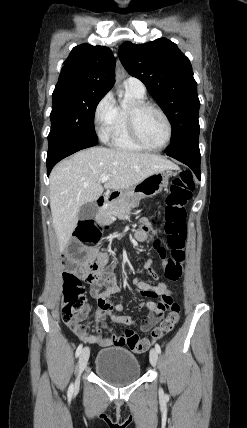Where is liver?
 I'll use <instances>...</instances> for the list:
<instances>
[{
	"label": "liver",
	"instance_id": "1",
	"mask_svg": "<svg viewBox=\"0 0 247 428\" xmlns=\"http://www.w3.org/2000/svg\"><path fill=\"white\" fill-rule=\"evenodd\" d=\"M170 169L179 168L161 156L105 147L82 150L58 163L50 174V208L60 252L77 226L82 205L96 201L104 188L126 190ZM105 175L109 179L103 188Z\"/></svg>",
	"mask_w": 247,
	"mask_h": 428
}]
</instances>
